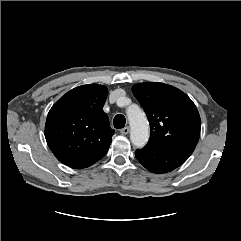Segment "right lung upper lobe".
I'll return each mask as SVG.
<instances>
[{"instance_id":"cb5924a9","label":"right lung upper lobe","mask_w":241,"mask_h":241,"mask_svg":"<svg viewBox=\"0 0 241 241\" xmlns=\"http://www.w3.org/2000/svg\"><path fill=\"white\" fill-rule=\"evenodd\" d=\"M107 95L105 86L82 85L52 106L45 138L60 162L80 169L91 166L107 153L114 134L103 111Z\"/></svg>"}]
</instances>
